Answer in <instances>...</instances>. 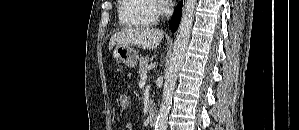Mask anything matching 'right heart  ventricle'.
Listing matches in <instances>:
<instances>
[{"label":"right heart ventricle","mask_w":299,"mask_h":130,"mask_svg":"<svg viewBox=\"0 0 299 130\" xmlns=\"http://www.w3.org/2000/svg\"><path fill=\"white\" fill-rule=\"evenodd\" d=\"M153 0H121L118 16L123 27H149L156 24L158 15Z\"/></svg>","instance_id":"right-heart-ventricle-1"}]
</instances>
